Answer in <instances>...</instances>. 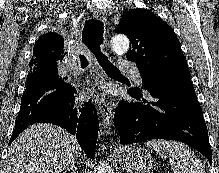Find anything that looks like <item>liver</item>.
I'll return each mask as SVG.
<instances>
[{"label":"liver","instance_id":"1","mask_svg":"<svg viewBox=\"0 0 219 173\" xmlns=\"http://www.w3.org/2000/svg\"><path fill=\"white\" fill-rule=\"evenodd\" d=\"M81 148L75 136L53 124H33L9 147L3 173H62Z\"/></svg>","mask_w":219,"mask_h":173}]
</instances>
